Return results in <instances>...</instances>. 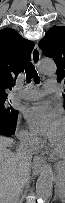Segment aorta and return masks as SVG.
Wrapping results in <instances>:
<instances>
[{
  "instance_id": "762f6f07",
  "label": "aorta",
  "mask_w": 65,
  "mask_h": 203,
  "mask_svg": "<svg viewBox=\"0 0 65 203\" xmlns=\"http://www.w3.org/2000/svg\"><path fill=\"white\" fill-rule=\"evenodd\" d=\"M56 64L52 59L44 58L39 62L38 70L42 75H54ZM54 183V173L51 165L46 164L42 167L36 181V197L38 203H48Z\"/></svg>"
}]
</instances>
